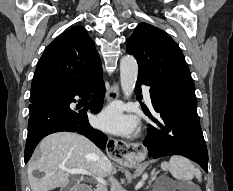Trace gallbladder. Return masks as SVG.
Returning <instances> with one entry per match:
<instances>
[{
  "label": "gallbladder",
  "instance_id": "1",
  "mask_svg": "<svg viewBox=\"0 0 233 191\" xmlns=\"http://www.w3.org/2000/svg\"><path fill=\"white\" fill-rule=\"evenodd\" d=\"M75 184H76V181L72 179L69 181V183L65 187H62L60 191H72Z\"/></svg>",
  "mask_w": 233,
  "mask_h": 191
}]
</instances>
